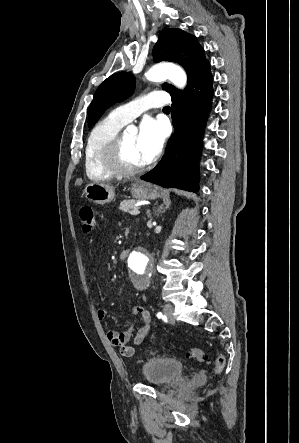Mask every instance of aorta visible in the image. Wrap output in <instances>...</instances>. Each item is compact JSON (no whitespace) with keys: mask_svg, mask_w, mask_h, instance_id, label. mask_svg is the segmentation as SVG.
I'll return each instance as SVG.
<instances>
[{"mask_svg":"<svg viewBox=\"0 0 299 443\" xmlns=\"http://www.w3.org/2000/svg\"><path fill=\"white\" fill-rule=\"evenodd\" d=\"M149 81L160 82L169 79L178 88H184L187 83L186 73L182 68L173 64H158L153 66L145 74ZM129 132H135L134 126L127 128ZM150 257L143 249L136 248L128 258V267L139 275H144L148 268Z\"/></svg>","mask_w":299,"mask_h":443,"instance_id":"762f6f07","label":"aorta"}]
</instances>
